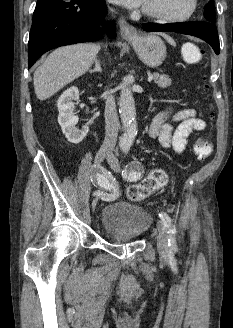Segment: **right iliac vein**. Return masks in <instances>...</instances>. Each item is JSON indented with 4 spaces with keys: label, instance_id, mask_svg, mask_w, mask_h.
I'll use <instances>...</instances> for the list:
<instances>
[{
    "label": "right iliac vein",
    "instance_id": "right-iliac-vein-1",
    "mask_svg": "<svg viewBox=\"0 0 233 328\" xmlns=\"http://www.w3.org/2000/svg\"><path fill=\"white\" fill-rule=\"evenodd\" d=\"M108 154V150L107 148L105 147H102L98 150V152L96 153V156H95V162L97 165H99L105 158V156ZM97 202H98V199L95 198L93 201H92V209L95 210L96 206H97Z\"/></svg>",
    "mask_w": 233,
    "mask_h": 328
}]
</instances>
